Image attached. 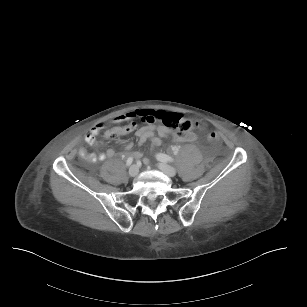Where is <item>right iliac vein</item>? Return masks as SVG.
I'll return each instance as SVG.
<instances>
[{"label":"right iliac vein","mask_w":307,"mask_h":307,"mask_svg":"<svg viewBox=\"0 0 307 307\" xmlns=\"http://www.w3.org/2000/svg\"><path fill=\"white\" fill-rule=\"evenodd\" d=\"M139 173V168L137 165H132L130 168H129V175L131 177H135L137 176Z\"/></svg>","instance_id":"obj_1"}]
</instances>
